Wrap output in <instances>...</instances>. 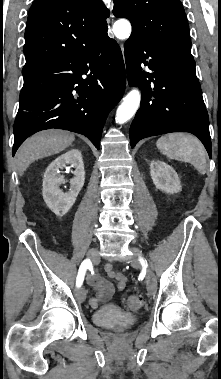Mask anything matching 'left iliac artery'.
I'll return each instance as SVG.
<instances>
[{
  "label": "left iliac artery",
  "mask_w": 221,
  "mask_h": 379,
  "mask_svg": "<svg viewBox=\"0 0 221 379\" xmlns=\"http://www.w3.org/2000/svg\"><path fill=\"white\" fill-rule=\"evenodd\" d=\"M140 261H141L142 265H145V260L143 258H140Z\"/></svg>",
  "instance_id": "44dca946"
}]
</instances>
